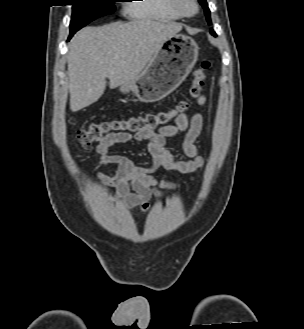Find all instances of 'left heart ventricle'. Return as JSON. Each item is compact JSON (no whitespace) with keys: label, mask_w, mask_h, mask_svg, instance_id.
Here are the masks:
<instances>
[{"label":"left heart ventricle","mask_w":304,"mask_h":329,"mask_svg":"<svg viewBox=\"0 0 304 329\" xmlns=\"http://www.w3.org/2000/svg\"><path fill=\"white\" fill-rule=\"evenodd\" d=\"M184 8L187 10V11H192L193 10V7L190 3L188 2H185L184 3Z\"/></svg>","instance_id":"b2bd125f"}]
</instances>
